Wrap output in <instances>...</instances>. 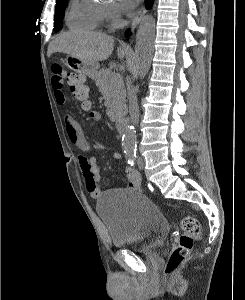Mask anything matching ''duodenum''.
I'll return each mask as SVG.
<instances>
[{"label":"duodenum","instance_id":"obj_1","mask_svg":"<svg viewBox=\"0 0 245 300\" xmlns=\"http://www.w3.org/2000/svg\"><path fill=\"white\" fill-rule=\"evenodd\" d=\"M115 122H116V127L119 130V132L124 133L126 131L127 124H128L127 119L124 117H117Z\"/></svg>","mask_w":245,"mask_h":300}]
</instances>
